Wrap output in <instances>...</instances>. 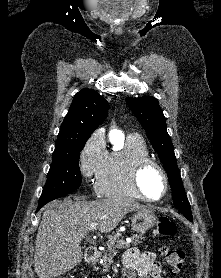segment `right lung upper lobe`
I'll return each instance as SVG.
<instances>
[{
	"mask_svg": "<svg viewBox=\"0 0 221 278\" xmlns=\"http://www.w3.org/2000/svg\"><path fill=\"white\" fill-rule=\"evenodd\" d=\"M108 102L92 89H82L73 99L57 137L55 149L84 143L107 117Z\"/></svg>",
	"mask_w": 221,
	"mask_h": 278,
	"instance_id": "obj_1",
	"label": "right lung upper lobe"
}]
</instances>
